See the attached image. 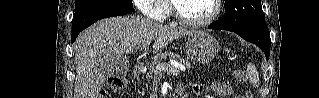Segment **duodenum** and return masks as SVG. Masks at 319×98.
Listing matches in <instances>:
<instances>
[{
    "label": "duodenum",
    "instance_id": "1",
    "mask_svg": "<svg viewBox=\"0 0 319 98\" xmlns=\"http://www.w3.org/2000/svg\"><path fill=\"white\" fill-rule=\"evenodd\" d=\"M144 68H145L144 64L136 65L134 70H133V77L140 78L143 74ZM177 92H178V94H182L183 88L180 87L179 89H177Z\"/></svg>",
    "mask_w": 319,
    "mask_h": 98
}]
</instances>
